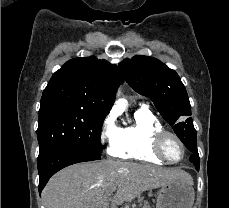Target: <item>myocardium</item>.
<instances>
[{"label":"myocardium","instance_id":"obj_1","mask_svg":"<svg viewBox=\"0 0 229 208\" xmlns=\"http://www.w3.org/2000/svg\"><path fill=\"white\" fill-rule=\"evenodd\" d=\"M169 136L174 137L175 138L174 142L179 143V146L183 147L184 153L180 160H173L171 157H169V154L166 153V148L168 147V144L166 143V141ZM153 147L154 148L150 149L151 153H157L156 154L157 158H164L167 162L171 164H178V163L183 162L187 155V146L184 140L177 133L173 131L165 130V129L157 133L156 143L153 144Z\"/></svg>","mask_w":229,"mask_h":208}]
</instances>
